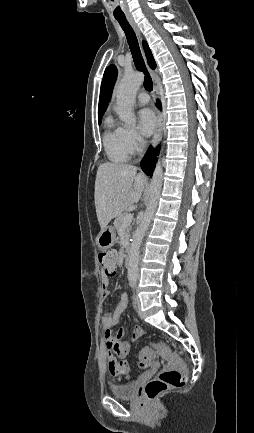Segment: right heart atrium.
I'll return each instance as SVG.
<instances>
[{
    "label": "right heart atrium",
    "instance_id": "right-heart-atrium-1",
    "mask_svg": "<svg viewBox=\"0 0 254 433\" xmlns=\"http://www.w3.org/2000/svg\"><path fill=\"white\" fill-rule=\"evenodd\" d=\"M124 139L131 154L137 153L141 150L143 139L135 128H123Z\"/></svg>",
    "mask_w": 254,
    "mask_h": 433
}]
</instances>
